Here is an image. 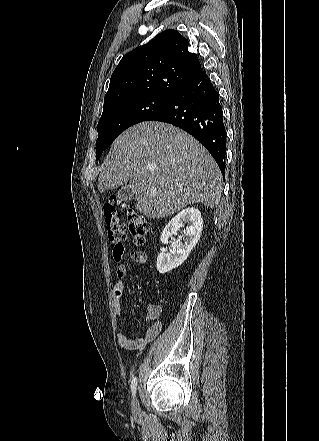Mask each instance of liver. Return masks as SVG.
<instances>
[{
	"label": "liver",
	"instance_id": "liver-1",
	"mask_svg": "<svg viewBox=\"0 0 319 441\" xmlns=\"http://www.w3.org/2000/svg\"><path fill=\"white\" fill-rule=\"evenodd\" d=\"M129 180L136 209L150 218L194 203L215 208L222 192L221 172L207 150L185 131L155 121L130 127L112 143L98 177L99 192Z\"/></svg>",
	"mask_w": 319,
	"mask_h": 441
}]
</instances>
